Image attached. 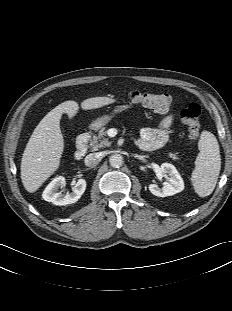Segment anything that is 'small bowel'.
Listing matches in <instances>:
<instances>
[{
	"label": "small bowel",
	"mask_w": 232,
	"mask_h": 311,
	"mask_svg": "<svg viewBox=\"0 0 232 311\" xmlns=\"http://www.w3.org/2000/svg\"><path fill=\"white\" fill-rule=\"evenodd\" d=\"M174 116L168 115L160 120L156 127H145L141 130L138 146L144 151H154L167 144L170 138Z\"/></svg>",
	"instance_id": "small-bowel-1"
}]
</instances>
